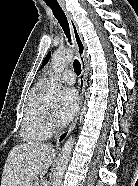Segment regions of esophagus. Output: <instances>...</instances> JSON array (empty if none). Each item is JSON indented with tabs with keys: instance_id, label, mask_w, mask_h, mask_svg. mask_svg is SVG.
Returning a JSON list of instances; mask_svg holds the SVG:
<instances>
[{
	"instance_id": "obj_1",
	"label": "esophagus",
	"mask_w": 138,
	"mask_h": 186,
	"mask_svg": "<svg viewBox=\"0 0 138 186\" xmlns=\"http://www.w3.org/2000/svg\"><path fill=\"white\" fill-rule=\"evenodd\" d=\"M59 3H60L61 8L63 9L64 13L66 14L68 22L70 24L73 41H74L75 46L77 48L78 58H79V61L81 63V67H82V73L79 78V90H80V95H81L79 111H78L75 119L72 121L71 125L69 126V128L58 135V137L56 139L57 146H59L61 143L64 142V140L69 136V134L72 132V130L74 129V127L77 123V120H78V117L80 114V110L82 108L83 101H84V92H85L86 77H87V59H86L85 44L82 40L81 34L78 30V26H77L76 22L74 21L71 13L66 9L64 2L60 1Z\"/></svg>"
}]
</instances>
